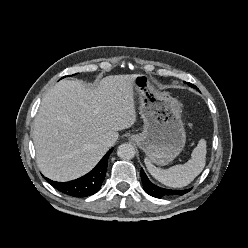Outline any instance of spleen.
<instances>
[{"mask_svg":"<svg viewBox=\"0 0 248 248\" xmlns=\"http://www.w3.org/2000/svg\"><path fill=\"white\" fill-rule=\"evenodd\" d=\"M206 141L201 139L185 164H178L168 169L156 168L147 158L144 160L149 173L162 184L181 188L190 184L204 169L206 163Z\"/></svg>","mask_w":248,"mask_h":248,"instance_id":"1","label":"spleen"}]
</instances>
